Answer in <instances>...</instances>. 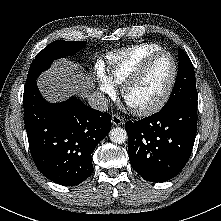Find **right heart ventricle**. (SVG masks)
<instances>
[{
    "label": "right heart ventricle",
    "mask_w": 221,
    "mask_h": 221,
    "mask_svg": "<svg viewBox=\"0 0 221 221\" xmlns=\"http://www.w3.org/2000/svg\"><path fill=\"white\" fill-rule=\"evenodd\" d=\"M160 50L162 48L157 44L143 43L108 54L106 63L109 78L115 84H122L147 56Z\"/></svg>",
    "instance_id": "right-heart-ventricle-1"
}]
</instances>
